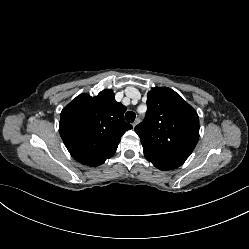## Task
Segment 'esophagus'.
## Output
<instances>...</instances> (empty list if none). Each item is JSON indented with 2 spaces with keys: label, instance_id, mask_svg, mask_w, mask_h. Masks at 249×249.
Segmentation results:
<instances>
[{
  "label": "esophagus",
  "instance_id": "1",
  "mask_svg": "<svg viewBox=\"0 0 249 249\" xmlns=\"http://www.w3.org/2000/svg\"><path fill=\"white\" fill-rule=\"evenodd\" d=\"M140 122V119L139 118H136L135 121L133 122V128L137 126V124H139Z\"/></svg>",
  "mask_w": 249,
  "mask_h": 249
}]
</instances>
